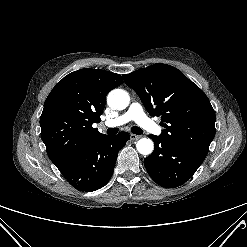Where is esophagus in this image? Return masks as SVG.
<instances>
[{
    "label": "esophagus",
    "instance_id": "34e87169",
    "mask_svg": "<svg viewBox=\"0 0 247 247\" xmlns=\"http://www.w3.org/2000/svg\"><path fill=\"white\" fill-rule=\"evenodd\" d=\"M141 137H142L141 135L130 134L131 140H138V139H140Z\"/></svg>",
    "mask_w": 247,
    "mask_h": 247
}]
</instances>
